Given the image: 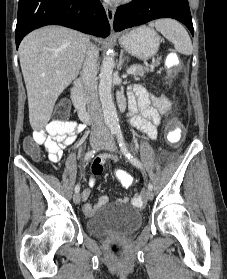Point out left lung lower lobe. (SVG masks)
Masks as SVG:
<instances>
[{
	"mask_svg": "<svg viewBox=\"0 0 227 279\" xmlns=\"http://www.w3.org/2000/svg\"><path fill=\"white\" fill-rule=\"evenodd\" d=\"M159 18H173L194 34L188 0H133L117 9L114 30L139 26Z\"/></svg>",
	"mask_w": 227,
	"mask_h": 279,
	"instance_id": "1",
	"label": "left lung lower lobe"
}]
</instances>
